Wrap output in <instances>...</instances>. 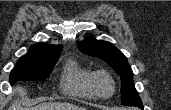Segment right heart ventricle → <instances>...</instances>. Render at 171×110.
I'll list each match as a JSON object with an SVG mask.
<instances>
[{"instance_id":"right-heart-ventricle-1","label":"right heart ventricle","mask_w":171,"mask_h":110,"mask_svg":"<svg viewBox=\"0 0 171 110\" xmlns=\"http://www.w3.org/2000/svg\"><path fill=\"white\" fill-rule=\"evenodd\" d=\"M92 72L75 60H70L61 75L63 93L83 99H94L95 95L90 85Z\"/></svg>"}]
</instances>
